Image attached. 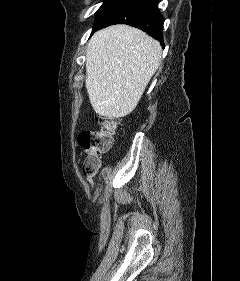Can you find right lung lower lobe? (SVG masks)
<instances>
[{
	"label": "right lung lower lobe",
	"mask_w": 240,
	"mask_h": 281,
	"mask_svg": "<svg viewBox=\"0 0 240 281\" xmlns=\"http://www.w3.org/2000/svg\"><path fill=\"white\" fill-rule=\"evenodd\" d=\"M157 5V0H122L102 19L93 31L113 24H127L145 31L159 40L164 47L162 42L164 18Z\"/></svg>",
	"instance_id": "98d812e1"
}]
</instances>
